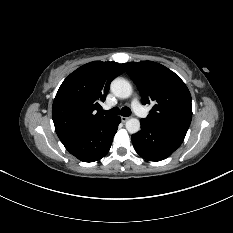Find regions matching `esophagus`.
<instances>
[{
	"mask_svg": "<svg viewBox=\"0 0 233 233\" xmlns=\"http://www.w3.org/2000/svg\"><path fill=\"white\" fill-rule=\"evenodd\" d=\"M128 119H129L128 117L121 116V121H122L123 123H125Z\"/></svg>",
	"mask_w": 233,
	"mask_h": 233,
	"instance_id": "1",
	"label": "esophagus"
}]
</instances>
